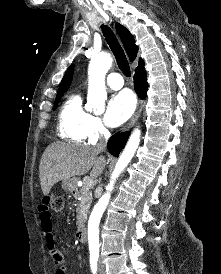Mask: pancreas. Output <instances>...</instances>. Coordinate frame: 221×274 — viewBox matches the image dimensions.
<instances>
[{
    "mask_svg": "<svg viewBox=\"0 0 221 274\" xmlns=\"http://www.w3.org/2000/svg\"><path fill=\"white\" fill-rule=\"evenodd\" d=\"M75 199L81 198L78 202V207L76 209L77 212V226L80 228L84 225L85 220L87 218L88 209L92 202V193L88 187L84 184L80 191L74 194Z\"/></svg>",
    "mask_w": 221,
    "mask_h": 274,
    "instance_id": "obj_1",
    "label": "pancreas"
}]
</instances>
